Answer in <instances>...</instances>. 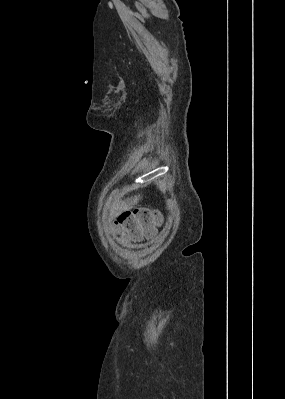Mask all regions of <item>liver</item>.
<instances>
[{
  "label": "liver",
  "mask_w": 285,
  "mask_h": 399,
  "mask_svg": "<svg viewBox=\"0 0 285 399\" xmlns=\"http://www.w3.org/2000/svg\"><path fill=\"white\" fill-rule=\"evenodd\" d=\"M140 198H141L140 195H138V196H134L132 199L134 202H138Z\"/></svg>",
  "instance_id": "6515ba94"
}]
</instances>
